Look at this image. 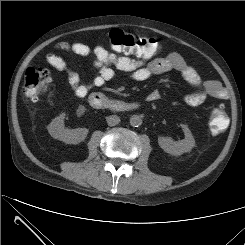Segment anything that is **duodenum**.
Here are the masks:
<instances>
[{
    "instance_id": "duodenum-1",
    "label": "duodenum",
    "mask_w": 245,
    "mask_h": 245,
    "mask_svg": "<svg viewBox=\"0 0 245 245\" xmlns=\"http://www.w3.org/2000/svg\"><path fill=\"white\" fill-rule=\"evenodd\" d=\"M89 103L97 109H105L110 111H132L138 108V103H128L120 100L110 99L101 93H93L89 97Z\"/></svg>"
}]
</instances>
